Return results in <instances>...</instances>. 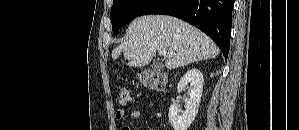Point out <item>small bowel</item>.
<instances>
[{
  "instance_id": "obj_1",
  "label": "small bowel",
  "mask_w": 299,
  "mask_h": 130,
  "mask_svg": "<svg viewBox=\"0 0 299 130\" xmlns=\"http://www.w3.org/2000/svg\"><path fill=\"white\" fill-rule=\"evenodd\" d=\"M126 112H127L126 108H121V109L117 110V112L115 114L116 119L117 120L122 119L124 117V115L126 114ZM130 115L137 120H140L142 118L140 111L137 109L131 110ZM120 130H132V128L128 125H124L121 127Z\"/></svg>"
}]
</instances>
